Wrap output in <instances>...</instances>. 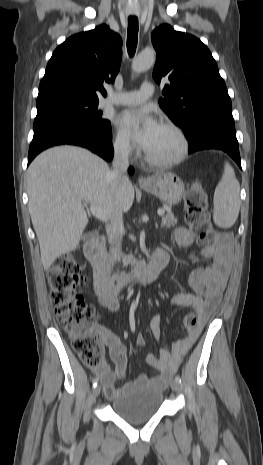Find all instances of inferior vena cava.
Segmentation results:
<instances>
[{
	"label": "inferior vena cava",
	"instance_id": "inferior-vena-cava-1",
	"mask_svg": "<svg viewBox=\"0 0 263 465\" xmlns=\"http://www.w3.org/2000/svg\"><path fill=\"white\" fill-rule=\"evenodd\" d=\"M128 146L127 143H120L115 147L113 158V170L110 173L112 180L116 186H123L129 183L127 177L128 169ZM111 232L115 246L120 249L122 237L124 234L123 213L122 210H117L111 218Z\"/></svg>",
	"mask_w": 263,
	"mask_h": 465
}]
</instances>
